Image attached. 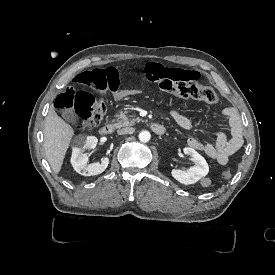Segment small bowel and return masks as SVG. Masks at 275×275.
I'll list each match as a JSON object with an SVG mask.
<instances>
[{"instance_id":"c3829d8e","label":"small bowel","mask_w":275,"mask_h":275,"mask_svg":"<svg viewBox=\"0 0 275 275\" xmlns=\"http://www.w3.org/2000/svg\"><path fill=\"white\" fill-rule=\"evenodd\" d=\"M142 76L143 79L147 81L151 79L159 80L161 78L165 80L176 79L184 81V79L187 80L190 79L191 76H194L197 82H201L203 78L202 74L198 72L195 73L187 69L180 70L172 65H165L162 67L156 63H150ZM105 77L108 87L112 90L115 99L120 100L127 97L128 92L125 89H121L122 82L116 69L111 67L106 68ZM143 85H146V82H143ZM143 89H146V86H143ZM130 91H135V88H130ZM138 91H141V88H138ZM171 117L179 127L185 130H194L203 126V124L193 122L178 110H173L171 112ZM221 122H228L229 137L218 129ZM206 126L216 130L213 143H205L195 137L188 138L187 143L194 150L204 153L219 165L224 166L243 144L242 124L239 113L234 106L227 105L220 112L217 121Z\"/></svg>"}]
</instances>
